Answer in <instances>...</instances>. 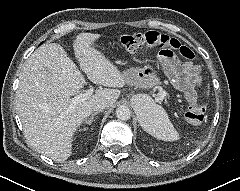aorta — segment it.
Listing matches in <instances>:
<instances>
[{
    "label": "aorta",
    "instance_id": "aorta-1",
    "mask_svg": "<svg viewBox=\"0 0 240 191\" xmlns=\"http://www.w3.org/2000/svg\"><path fill=\"white\" fill-rule=\"evenodd\" d=\"M140 100L144 103L145 108L150 107L151 102L146 97H141ZM116 117L120 120H129L131 117V110L126 105H121L116 109Z\"/></svg>",
    "mask_w": 240,
    "mask_h": 191
}]
</instances>
